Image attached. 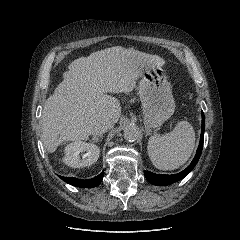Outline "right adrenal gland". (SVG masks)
I'll list each match as a JSON object with an SVG mask.
<instances>
[{"instance_id": "obj_1", "label": "right adrenal gland", "mask_w": 240, "mask_h": 240, "mask_svg": "<svg viewBox=\"0 0 240 240\" xmlns=\"http://www.w3.org/2000/svg\"><path fill=\"white\" fill-rule=\"evenodd\" d=\"M101 138H102V136H94L93 138H92V142H99V141H101Z\"/></svg>"}]
</instances>
